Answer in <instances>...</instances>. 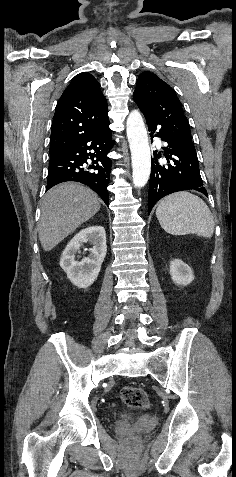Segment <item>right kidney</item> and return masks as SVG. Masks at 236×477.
Returning <instances> with one entry per match:
<instances>
[{
    "label": "right kidney",
    "mask_w": 236,
    "mask_h": 477,
    "mask_svg": "<svg viewBox=\"0 0 236 477\" xmlns=\"http://www.w3.org/2000/svg\"><path fill=\"white\" fill-rule=\"evenodd\" d=\"M89 242L93 245L90 254L81 261L76 260L80 247ZM106 232L102 226H91L81 230L64 249L60 266L68 279L78 288H87L94 283L106 256Z\"/></svg>",
    "instance_id": "ca27d5eb"
}]
</instances>
